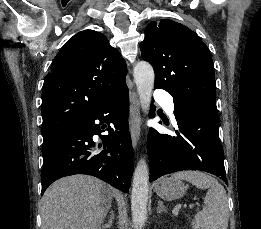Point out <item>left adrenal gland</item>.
I'll return each instance as SVG.
<instances>
[{"label":"left adrenal gland","instance_id":"obj_1","mask_svg":"<svg viewBox=\"0 0 261 229\" xmlns=\"http://www.w3.org/2000/svg\"><path fill=\"white\" fill-rule=\"evenodd\" d=\"M158 209H157V213H163V211H167L166 207H164L162 201H158Z\"/></svg>","mask_w":261,"mask_h":229}]
</instances>
